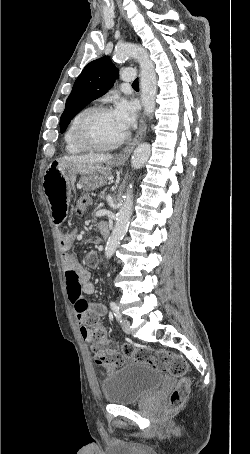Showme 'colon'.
<instances>
[{
	"instance_id": "5ec220e1",
	"label": "colon",
	"mask_w": 250,
	"mask_h": 454,
	"mask_svg": "<svg viewBox=\"0 0 250 454\" xmlns=\"http://www.w3.org/2000/svg\"><path fill=\"white\" fill-rule=\"evenodd\" d=\"M90 205V196L81 193L77 201V212H86ZM90 328L92 330V350L95 353L97 364L109 372L121 366L126 358L149 364L157 371L168 373L179 379L170 396V409L177 410L185 403L190 393V382L187 377L188 364L182 356L167 350H156L148 347L136 348L131 345L124 346L122 352H118L115 344L108 340L99 318L90 319Z\"/></svg>"
}]
</instances>
